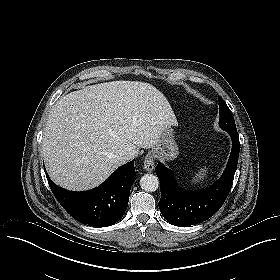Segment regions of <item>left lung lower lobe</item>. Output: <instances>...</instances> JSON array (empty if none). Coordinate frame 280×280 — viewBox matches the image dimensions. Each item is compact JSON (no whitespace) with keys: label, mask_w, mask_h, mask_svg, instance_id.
Wrapping results in <instances>:
<instances>
[{"label":"left lung lower lobe","mask_w":280,"mask_h":280,"mask_svg":"<svg viewBox=\"0 0 280 280\" xmlns=\"http://www.w3.org/2000/svg\"><path fill=\"white\" fill-rule=\"evenodd\" d=\"M228 133L232 138L228 164L221 178L205 190H183L177 186L171 170L161 163L156 166L161 188L159 208L169 223L178 227L201 223L213 216L223 205L233 184L240 150L237 131Z\"/></svg>","instance_id":"1"}]
</instances>
